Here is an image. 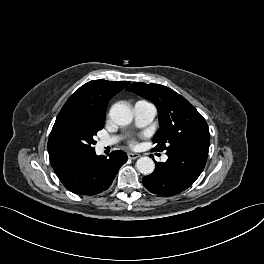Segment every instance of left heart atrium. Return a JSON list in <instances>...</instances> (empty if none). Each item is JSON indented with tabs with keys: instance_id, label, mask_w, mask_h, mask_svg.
<instances>
[{
	"instance_id": "39dd6f15",
	"label": "left heart atrium",
	"mask_w": 264,
	"mask_h": 264,
	"mask_svg": "<svg viewBox=\"0 0 264 264\" xmlns=\"http://www.w3.org/2000/svg\"><path fill=\"white\" fill-rule=\"evenodd\" d=\"M131 145L133 146L134 145V142H131Z\"/></svg>"
}]
</instances>
